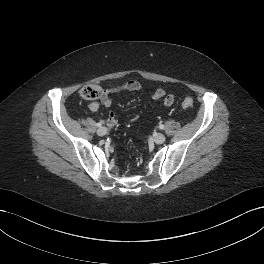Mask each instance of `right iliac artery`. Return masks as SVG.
Listing matches in <instances>:
<instances>
[{"instance_id": "right-iliac-artery-1", "label": "right iliac artery", "mask_w": 264, "mask_h": 264, "mask_svg": "<svg viewBox=\"0 0 264 264\" xmlns=\"http://www.w3.org/2000/svg\"><path fill=\"white\" fill-rule=\"evenodd\" d=\"M96 125H97V127H101L102 126V123L101 122H98Z\"/></svg>"}]
</instances>
